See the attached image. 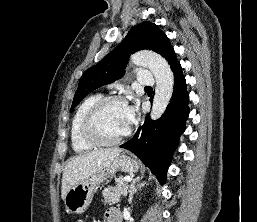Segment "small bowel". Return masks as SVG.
I'll list each match as a JSON object with an SVG mask.
<instances>
[{"mask_svg":"<svg viewBox=\"0 0 257 222\" xmlns=\"http://www.w3.org/2000/svg\"><path fill=\"white\" fill-rule=\"evenodd\" d=\"M106 222H120L119 213L116 209L110 208L105 213Z\"/></svg>","mask_w":257,"mask_h":222,"instance_id":"c3829d8e","label":"small bowel"}]
</instances>
